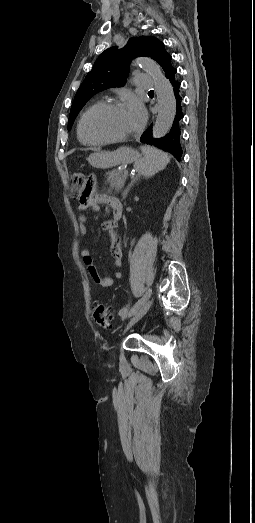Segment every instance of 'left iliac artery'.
<instances>
[{"mask_svg":"<svg viewBox=\"0 0 255 523\" xmlns=\"http://www.w3.org/2000/svg\"><path fill=\"white\" fill-rule=\"evenodd\" d=\"M152 294V289H149L146 294L138 301L136 302L133 307L130 309L128 316H132L137 312V310L149 299V297Z\"/></svg>","mask_w":255,"mask_h":523,"instance_id":"left-iliac-artery-1","label":"left iliac artery"}]
</instances>
